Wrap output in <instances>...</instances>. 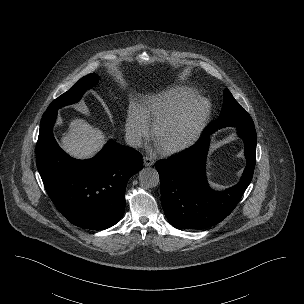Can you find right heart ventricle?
Wrapping results in <instances>:
<instances>
[{
	"label": "right heart ventricle",
	"mask_w": 304,
	"mask_h": 304,
	"mask_svg": "<svg viewBox=\"0 0 304 304\" xmlns=\"http://www.w3.org/2000/svg\"><path fill=\"white\" fill-rule=\"evenodd\" d=\"M196 95V91L186 86H175L158 95L152 96L142 103L138 110L151 123L175 110L189 98Z\"/></svg>",
	"instance_id": "obj_1"
}]
</instances>
